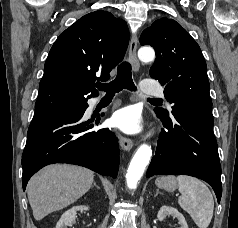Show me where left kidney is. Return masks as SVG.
Listing matches in <instances>:
<instances>
[{"label":"left kidney","instance_id":"obj_1","mask_svg":"<svg viewBox=\"0 0 238 228\" xmlns=\"http://www.w3.org/2000/svg\"><path fill=\"white\" fill-rule=\"evenodd\" d=\"M167 216H173L174 218H177L180 228H188L184 216L177 209L169 206H162L158 211L157 218L159 221H163Z\"/></svg>","mask_w":238,"mask_h":228}]
</instances>
